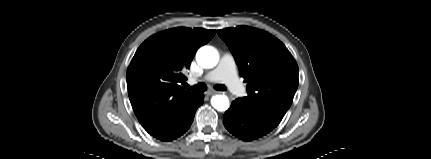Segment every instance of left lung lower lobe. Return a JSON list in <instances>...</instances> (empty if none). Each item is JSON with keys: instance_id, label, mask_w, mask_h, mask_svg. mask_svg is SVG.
Returning <instances> with one entry per match:
<instances>
[{"instance_id": "obj_1", "label": "left lung lower lobe", "mask_w": 431, "mask_h": 159, "mask_svg": "<svg viewBox=\"0 0 431 159\" xmlns=\"http://www.w3.org/2000/svg\"><path fill=\"white\" fill-rule=\"evenodd\" d=\"M281 120V117L270 112L247 106L241 99L233 101L223 115L226 129L244 141H252L268 134Z\"/></svg>"}]
</instances>
